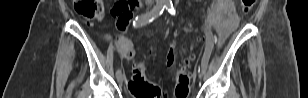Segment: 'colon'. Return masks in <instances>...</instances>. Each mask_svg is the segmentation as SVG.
I'll list each match as a JSON object with an SVG mask.
<instances>
[{
  "instance_id": "1",
  "label": "colon",
  "mask_w": 308,
  "mask_h": 98,
  "mask_svg": "<svg viewBox=\"0 0 308 98\" xmlns=\"http://www.w3.org/2000/svg\"><path fill=\"white\" fill-rule=\"evenodd\" d=\"M137 0L118 1L113 9L112 14L118 18V30L126 31L130 27L128 24L132 14L131 10ZM256 0H242V11L248 13ZM74 8L79 16L87 23L91 20L99 18L103 14V4L101 0H74ZM117 47L121 54L130 60L133 54L131 44L127 37L120 35L116 41ZM192 57L188 56L181 61H178L176 51L171 49L168 54V63L171 68H175L174 75V95L176 98H185L188 93L189 78L186 72ZM145 70V62L140 61L135 64L132 72V80L129 87L137 98H159L160 91L154 85L149 83L143 76Z\"/></svg>"
}]
</instances>
